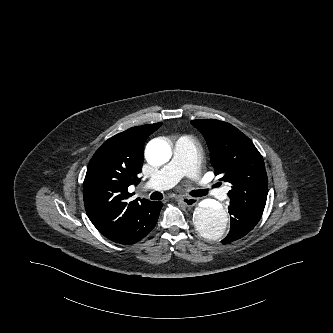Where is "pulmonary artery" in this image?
<instances>
[{
  "label": "pulmonary artery",
  "mask_w": 333,
  "mask_h": 333,
  "mask_svg": "<svg viewBox=\"0 0 333 333\" xmlns=\"http://www.w3.org/2000/svg\"><path fill=\"white\" fill-rule=\"evenodd\" d=\"M197 146L193 138L181 136L175 143L172 160L164 166L156 175L151 177L145 187L150 189H168L174 186L183 176L198 179L196 168ZM211 189L210 185L202 183L199 190Z\"/></svg>",
  "instance_id": "e3ab8cb5"
}]
</instances>
